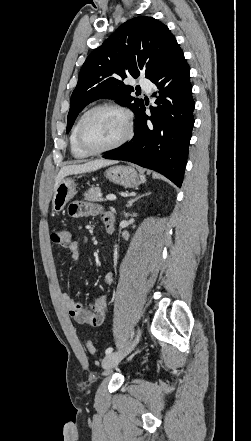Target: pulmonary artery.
I'll return each mask as SVG.
<instances>
[{"label": "pulmonary artery", "instance_id": "obj_1", "mask_svg": "<svg viewBox=\"0 0 251 441\" xmlns=\"http://www.w3.org/2000/svg\"><path fill=\"white\" fill-rule=\"evenodd\" d=\"M139 85L147 92H151L153 84L151 83V81H149L148 79L145 78H141L139 80Z\"/></svg>", "mask_w": 251, "mask_h": 441}]
</instances>
